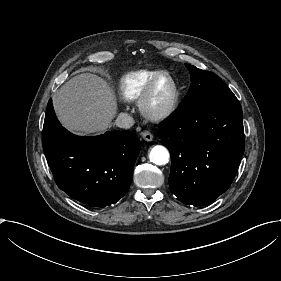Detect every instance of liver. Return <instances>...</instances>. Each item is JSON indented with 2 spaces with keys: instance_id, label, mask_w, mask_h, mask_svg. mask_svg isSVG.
Instances as JSON below:
<instances>
[{
  "instance_id": "6515ba94",
  "label": "liver",
  "mask_w": 281,
  "mask_h": 281,
  "mask_svg": "<svg viewBox=\"0 0 281 281\" xmlns=\"http://www.w3.org/2000/svg\"><path fill=\"white\" fill-rule=\"evenodd\" d=\"M52 101L61 125L81 135L105 134L119 112L113 86L106 78L89 72L70 78Z\"/></svg>"
}]
</instances>
